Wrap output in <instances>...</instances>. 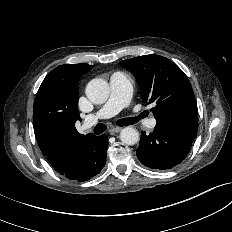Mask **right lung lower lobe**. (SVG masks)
<instances>
[{
  "label": "right lung lower lobe",
  "mask_w": 232,
  "mask_h": 232,
  "mask_svg": "<svg viewBox=\"0 0 232 232\" xmlns=\"http://www.w3.org/2000/svg\"><path fill=\"white\" fill-rule=\"evenodd\" d=\"M108 138L106 135L91 136L77 144L66 169L60 171L70 180L86 181L100 173L106 163Z\"/></svg>",
  "instance_id": "98d812e1"
}]
</instances>
